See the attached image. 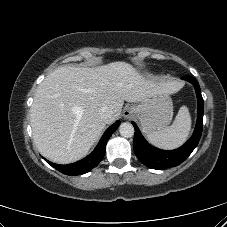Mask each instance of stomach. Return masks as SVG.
<instances>
[{"label": "stomach", "mask_w": 227, "mask_h": 227, "mask_svg": "<svg viewBox=\"0 0 227 227\" xmlns=\"http://www.w3.org/2000/svg\"><path fill=\"white\" fill-rule=\"evenodd\" d=\"M132 108L146 135L164 129L173 115L172 101L165 93L154 94Z\"/></svg>", "instance_id": "0dacf381"}]
</instances>
